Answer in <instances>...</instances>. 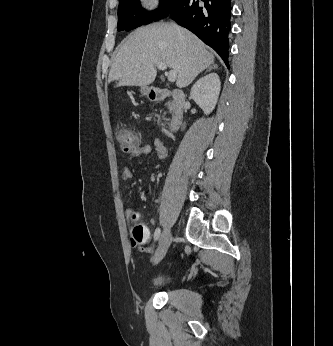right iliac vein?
I'll list each match as a JSON object with an SVG mask.
<instances>
[{
	"label": "right iliac vein",
	"instance_id": "obj_1",
	"mask_svg": "<svg viewBox=\"0 0 333 346\" xmlns=\"http://www.w3.org/2000/svg\"><path fill=\"white\" fill-rule=\"evenodd\" d=\"M170 243H171V233L169 229L166 228L160 238L158 248L155 252L154 259H153L154 264L159 263L164 258L170 246Z\"/></svg>",
	"mask_w": 333,
	"mask_h": 346
}]
</instances>
